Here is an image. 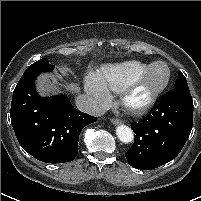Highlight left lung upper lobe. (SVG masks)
<instances>
[{
  "label": "left lung upper lobe",
  "mask_w": 201,
  "mask_h": 201,
  "mask_svg": "<svg viewBox=\"0 0 201 201\" xmlns=\"http://www.w3.org/2000/svg\"><path fill=\"white\" fill-rule=\"evenodd\" d=\"M179 86L188 87L187 80L181 72H179V76L175 82V87H179Z\"/></svg>",
  "instance_id": "left-lung-upper-lobe-1"
}]
</instances>
